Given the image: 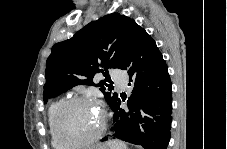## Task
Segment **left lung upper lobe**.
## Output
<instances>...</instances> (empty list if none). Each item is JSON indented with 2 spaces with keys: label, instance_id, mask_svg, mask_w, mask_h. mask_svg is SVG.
Here are the masks:
<instances>
[{
  "label": "left lung upper lobe",
  "instance_id": "obj_1",
  "mask_svg": "<svg viewBox=\"0 0 227 149\" xmlns=\"http://www.w3.org/2000/svg\"><path fill=\"white\" fill-rule=\"evenodd\" d=\"M138 27L133 19L112 13L90 22L72 38L56 43L46 62L44 102L82 84L100 87L111 107L119 96L107 91H111L106 83L110 82L108 68H124ZM99 72L105 80L95 84L93 77Z\"/></svg>",
  "mask_w": 227,
  "mask_h": 149
}]
</instances>
